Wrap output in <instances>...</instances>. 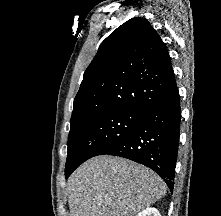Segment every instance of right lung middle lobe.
<instances>
[{
    "instance_id": "obj_1",
    "label": "right lung middle lobe",
    "mask_w": 221,
    "mask_h": 216,
    "mask_svg": "<svg viewBox=\"0 0 221 216\" xmlns=\"http://www.w3.org/2000/svg\"><path fill=\"white\" fill-rule=\"evenodd\" d=\"M142 110L124 108L88 118L70 127L65 175L71 166L103 154L127 137L138 125Z\"/></svg>"
}]
</instances>
